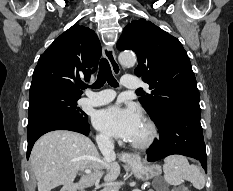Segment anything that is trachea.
I'll return each instance as SVG.
<instances>
[{"label":"trachea","mask_w":233,"mask_h":191,"mask_svg":"<svg viewBox=\"0 0 233 191\" xmlns=\"http://www.w3.org/2000/svg\"><path fill=\"white\" fill-rule=\"evenodd\" d=\"M106 81L109 85H111L113 87L118 86L117 81L115 80V78L112 75V71H111V67L109 65V62L107 61V59L102 58L100 61L99 73L97 76V80L91 87L95 88V89L100 88L105 84ZM86 88H88L87 84L81 85V89H86Z\"/></svg>","instance_id":"3493384b"}]
</instances>
